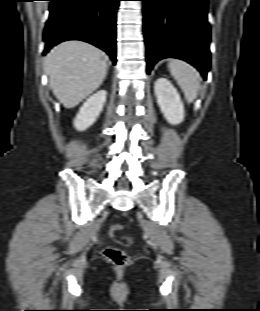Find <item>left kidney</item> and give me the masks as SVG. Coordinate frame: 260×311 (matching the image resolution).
<instances>
[{"mask_svg": "<svg viewBox=\"0 0 260 311\" xmlns=\"http://www.w3.org/2000/svg\"><path fill=\"white\" fill-rule=\"evenodd\" d=\"M155 95L161 112L170 124L177 125L184 120V105L177 90L168 79H157Z\"/></svg>", "mask_w": 260, "mask_h": 311, "instance_id": "left-kidney-1", "label": "left kidney"}]
</instances>
